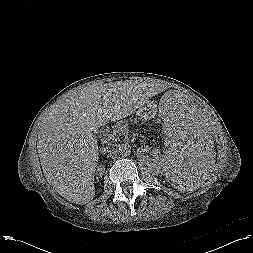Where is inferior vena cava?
Instances as JSON below:
<instances>
[{
  "label": "inferior vena cava",
  "mask_w": 253,
  "mask_h": 253,
  "mask_svg": "<svg viewBox=\"0 0 253 253\" xmlns=\"http://www.w3.org/2000/svg\"><path fill=\"white\" fill-rule=\"evenodd\" d=\"M109 152L111 155H115L116 153H118V145L109 147Z\"/></svg>",
  "instance_id": "602c4592"
}]
</instances>
